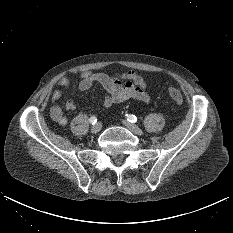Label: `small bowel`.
Listing matches in <instances>:
<instances>
[{
	"mask_svg": "<svg viewBox=\"0 0 233 233\" xmlns=\"http://www.w3.org/2000/svg\"><path fill=\"white\" fill-rule=\"evenodd\" d=\"M93 83H98L106 90L107 95L102 101L105 108H110L113 104L124 102L130 99L141 102H148L150 99L146 81L134 70L127 72L109 75L107 73L98 72L92 73L84 71L80 74L78 88L81 91L88 90ZM58 88L51 94L50 116L61 126L67 124L68 119L64 113L63 107L56 102L63 96V92L70 85V80L62 77L57 82ZM67 111H74L76 104L73 100H68L65 103Z\"/></svg>",
	"mask_w": 233,
	"mask_h": 233,
	"instance_id": "c3829d8e",
	"label": "small bowel"
}]
</instances>
